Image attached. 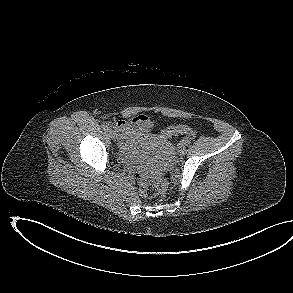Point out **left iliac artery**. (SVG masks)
<instances>
[{"label":"left iliac artery","instance_id":"obj_1","mask_svg":"<svg viewBox=\"0 0 293 293\" xmlns=\"http://www.w3.org/2000/svg\"><path fill=\"white\" fill-rule=\"evenodd\" d=\"M189 144H190V141L188 139H185V140L182 141V145L187 146Z\"/></svg>","mask_w":293,"mask_h":293}]
</instances>
